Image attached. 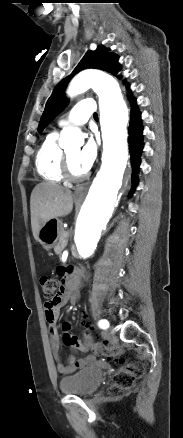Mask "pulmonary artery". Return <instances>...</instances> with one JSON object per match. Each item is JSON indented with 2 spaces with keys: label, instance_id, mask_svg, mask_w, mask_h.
<instances>
[{
  "label": "pulmonary artery",
  "instance_id": "1",
  "mask_svg": "<svg viewBox=\"0 0 183 438\" xmlns=\"http://www.w3.org/2000/svg\"><path fill=\"white\" fill-rule=\"evenodd\" d=\"M95 110L96 106L94 101L91 99H84L73 107L67 117L60 121L59 125L61 127H66L68 125L85 124Z\"/></svg>",
  "mask_w": 183,
  "mask_h": 438
}]
</instances>
